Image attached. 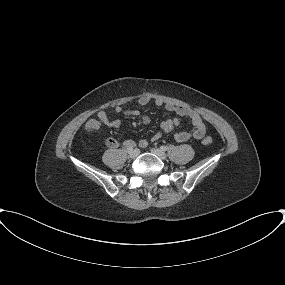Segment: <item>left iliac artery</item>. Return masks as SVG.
I'll list each match as a JSON object with an SVG mask.
<instances>
[{
  "label": "left iliac artery",
  "mask_w": 285,
  "mask_h": 285,
  "mask_svg": "<svg viewBox=\"0 0 285 285\" xmlns=\"http://www.w3.org/2000/svg\"><path fill=\"white\" fill-rule=\"evenodd\" d=\"M160 149H161L162 151H166V150H167V147H166V146H161Z\"/></svg>",
  "instance_id": "obj_1"
}]
</instances>
